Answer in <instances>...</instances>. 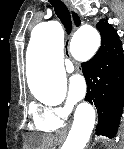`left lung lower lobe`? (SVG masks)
Returning a JSON list of instances; mask_svg holds the SVG:
<instances>
[{
	"mask_svg": "<svg viewBox=\"0 0 124 149\" xmlns=\"http://www.w3.org/2000/svg\"><path fill=\"white\" fill-rule=\"evenodd\" d=\"M82 71L88 86L85 100L97 108L96 134L113 138L124 106V55L119 36L102 35L99 50L82 63Z\"/></svg>",
	"mask_w": 124,
	"mask_h": 149,
	"instance_id": "left-lung-lower-lobe-1",
	"label": "left lung lower lobe"
}]
</instances>
